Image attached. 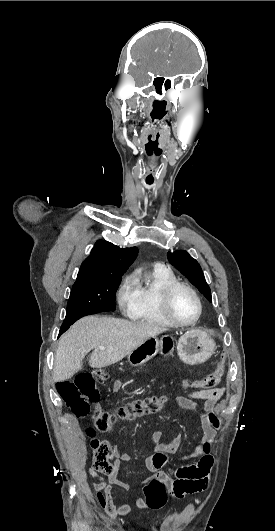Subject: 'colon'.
I'll return each instance as SVG.
<instances>
[{
    "instance_id": "1",
    "label": "colon",
    "mask_w": 275,
    "mask_h": 531,
    "mask_svg": "<svg viewBox=\"0 0 275 531\" xmlns=\"http://www.w3.org/2000/svg\"><path fill=\"white\" fill-rule=\"evenodd\" d=\"M226 368V360L222 357L216 368L208 375L190 381V383L200 391H208L215 389L221 382ZM109 378L108 373L104 371L96 372H80L76 375L73 381L65 380L56 384V392L61 396L68 408L74 413L76 417L85 418L89 414L90 405L96 403L99 399V390L96 384H101ZM182 390H188L189 384L182 383ZM168 395L158 394L149 398L134 401L115 412H107L105 410H98L93 415V420L103 430V433L110 432L117 422H125L137 417L148 414H154L160 411L168 402ZM88 436L92 440V444H96L93 428L90 426L87 430ZM99 470H109L108 466H98ZM146 501L144 506L151 511H160L165 508L166 490L162 483L155 486L154 483L149 482L145 486Z\"/></svg>"
}]
</instances>
